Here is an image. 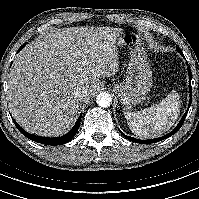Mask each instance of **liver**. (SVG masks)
Returning <instances> with one entry per match:
<instances>
[{
    "label": "liver",
    "mask_w": 199,
    "mask_h": 199,
    "mask_svg": "<svg viewBox=\"0 0 199 199\" xmlns=\"http://www.w3.org/2000/svg\"><path fill=\"white\" fill-rule=\"evenodd\" d=\"M112 27H70L37 38L17 54L8 80L9 108L27 131L40 136L63 135L82 103L94 95L100 78L119 69ZM75 89L84 91L76 100Z\"/></svg>",
    "instance_id": "1"
}]
</instances>
